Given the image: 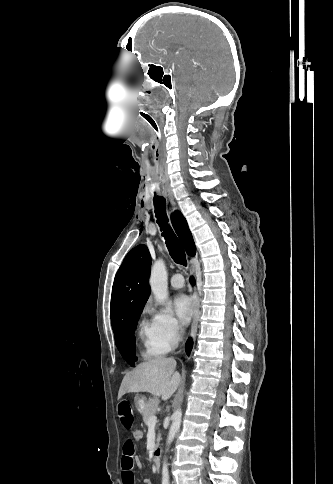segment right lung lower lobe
Returning a JSON list of instances; mask_svg holds the SVG:
<instances>
[{"instance_id": "obj_1", "label": "right lung lower lobe", "mask_w": 333, "mask_h": 484, "mask_svg": "<svg viewBox=\"0 0 333 484\" xmlns=\"http://www.w3.org/2000/svg\"><path fill=\"white\" fill-rule=\"evenodd\" d=\"M190 282H191V283H194L193 278H191V279H190ZM192 345H193L192 340H191V339H189V340L186 342V352H187V354H189V353H190L191 348H192Z\"/></svg>"}]
</instances>
